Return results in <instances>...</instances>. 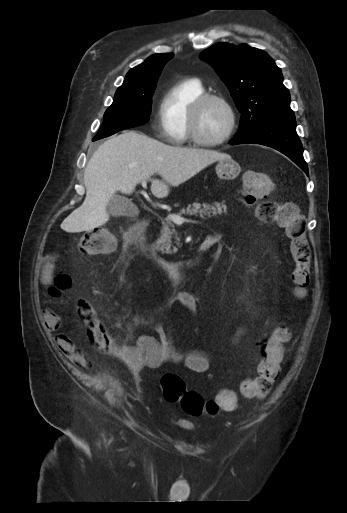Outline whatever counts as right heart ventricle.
<instances>
[{
  "label": "right heart ventricle",
  "mask_w": 347,
  "mask_h": 513,
  "mask_svg": "<svg viewBox=\"0 0 347 513\" xmlns=\"http://www.w3.org/2000/svg\"><path fill=\"white\" fill-rule=\"evenodd\" d=\"M202 84L195 79H183L171 84L164 92L159 106L161 132L171 144L188 143L187 117L193 101L204 94Z\"/></svg>",
  "instance_id": "right-heart-ventricle-1"
}]
</instances>
